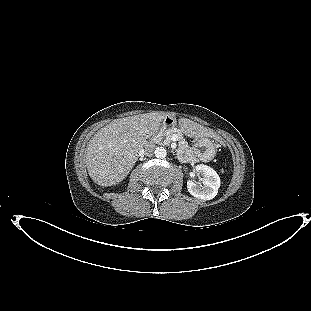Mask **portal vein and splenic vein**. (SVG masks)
<instances>
[{"instance_id":"1","label":"portal vein and splenic vein","mask_w":311,"mask_h":311,"mask_svg":"<svg viewBox=\"0 0 311 311\" xmlns=\"http://www.w3.org/2000/svg\"><path fill=\"white\" fill-rule=\"evenodd\" d=\"M172 140H173V141L178 140V136H176V135H175V136H173Z\"/></svg>"}]
</instances>
